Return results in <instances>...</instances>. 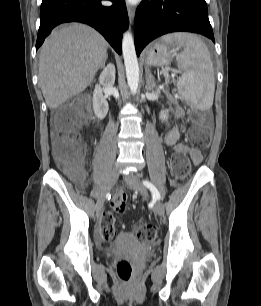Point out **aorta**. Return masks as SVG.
I'll return each mask as SVG.
<instances>
[{"label":"aorta","mask_w":261,"mask_h":306,"mask_svg":"<svg viewBox=\"0 0 261 306\" xmlns=\"http://www.w3.org/2000/svg\"><path fill=\"white\" fill-rule=\"evenodd\" d=\"M122 53L126 68L128 86L132 93H136L139 84V66L133 36L129 31H126L123 35Z\"/></svg>","instance_id":"762f6f07"}]
</instances>
